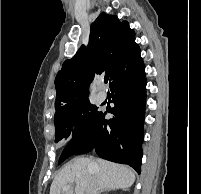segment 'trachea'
Instances as JSON below:
<instances>
[{
	"instance_id": "3493384b",
	"label": "trachea",
	"mask_w": 201,
	"mask_h": 194,
	"mask_svg": "<svg viewBox=\"0 0 201 194\" xmlns=\"http://www.w3.org/2000/svg\"><path fill=\"white\" fill-rule=\"evenodd\" d=\"M108 80H109L108 76H105L104 77V83H108Z\"/></svg>"
}]
</instances>
